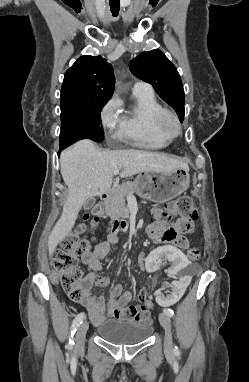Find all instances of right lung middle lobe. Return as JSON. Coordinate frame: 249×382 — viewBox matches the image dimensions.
Segmentation results:
<instances>
[{
  "label": "right lung middle lobe",
  "mask_w": 249,
  "mask_h": 382,
  "mask_svg": "<svg viewBox=\"0 0 249 382\" xmlns=\"http://www.w3.org/2000/svg\"><path fill=\"white\" fill-rule=\"evenodd\" d=\"M107 101L108 99H97L61 108L60 147L66 148L81 139L103 141L100 112Z\"/></svg>",
  "instance_id": "dd1d6c3e"
}]
</instances>
